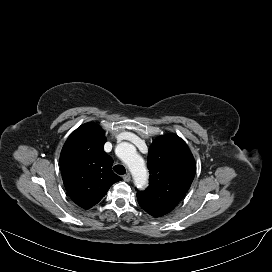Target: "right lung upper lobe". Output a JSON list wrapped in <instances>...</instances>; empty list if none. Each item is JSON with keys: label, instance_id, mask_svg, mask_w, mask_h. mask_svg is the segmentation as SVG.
I'll return each mask as SVG.
<instances>
[{"label": "right lung upper lobe", "instance_id": "cb5924a9", "mask_svg": "<svg viewBox=\"0 0 272 272\" xmlns=\"http://www.w3.org/2000/svg\"><path fill=\"white\" fill-rule=\"evenodd\" d=\"M104 131L94 123L77 128L65 142L60 155L64 186L71 199L89 209L120 181L113 173L112 158L104 151Z\"/></svg>", "mask_w": 272, "mask_h": 272}]
</instances>
